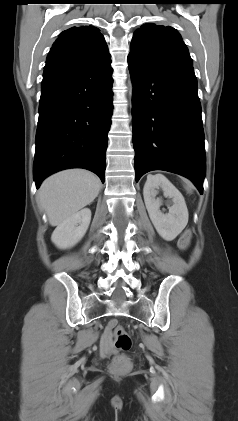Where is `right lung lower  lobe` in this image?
<instances>
[{"label":"right lung lower lobe","instance_id":"98d812e1","mask_svg":"<svg viewBox=\"0 0 238 421\" xmlns=\"http://www.w3.org/2000/svg\"><path fill=\"white\" fill-rule=\"evenodd\" d=\"M111 62L45 68L41 85L33 175L85 168L105 179L113 111Z\"/></svg>","mask_w":238,"mask_h":421}]
</instances>
